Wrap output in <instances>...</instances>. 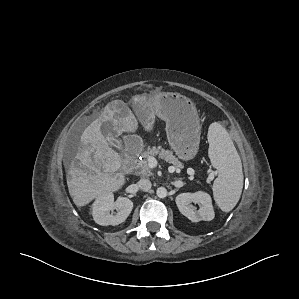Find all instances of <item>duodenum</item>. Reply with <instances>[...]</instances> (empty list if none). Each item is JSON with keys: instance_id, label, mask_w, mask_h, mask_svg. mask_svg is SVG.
<instances>
[{"instance_id": "obj_1", "label": "duodenum", "mask_w": 299, "mask_h": 299, "mask_svg": "<svg viewBox=\"0 0 299 299\" xmlns=\"http://www.w3.org/2000/svg\"><path fill=\"white\" fill-rule=\"evenodd\" d=\"M138 154L139 152L135 144L132 141L128 142L125 159L123 161V168L126 170L129 169L133 161L137 158Z\"/></svg>"}]
</instances>
